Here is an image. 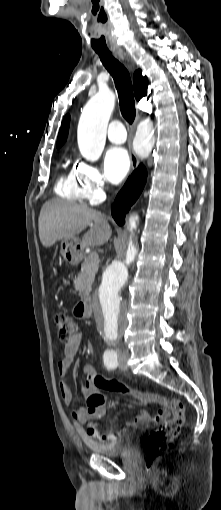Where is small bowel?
<instances>
[{
  "mask_svg": "<svg viewBox=\"0 0 221 510\" xmlns=\"http://www.w3.org/2000/svg\"><path fill=\"white\" fill-rule=\"evenodd\" d=\"M82 342V336L80 333L74 335L72 340L64 346L63 354L61 359L58 361L57 367L61 380L59 383L60 393L65 404L71 405L73 403V394L66 380V375L72 366L75 358L77 357ZM83 373L86 376V381L81 387V392L84 397H88L92 394L101 393L92 384V377L95 375V368L87 364L83 368ZM156 395V394H153ZM158 396V395H156ZM159 412V411H158ZM106 414V408L104 402L93 406V407H80L72 410L73 418L79 423H90L95 420L101 419ZM152 421H157L156 416L153 418L147 411L138 412L131 422L126 423L121 430L117 432H109L102 434L96 427H90L88 430L89 435L97 438L100 441L109 442L118 439L122 435L128 433L131 430L145 426Z\"/></svg>",
  "mask_w": 221,
  "mask_h": 510,
  "instance_id": "c3829d8e",
  "label": "small bowel"
}]
</instances>
